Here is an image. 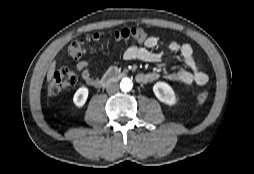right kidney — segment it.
<instances>
[{
    "label": "right kidney",
    "mask_w": 254,
    "mask_h": 174,
    "mask_svg": "<svg viewBox=\"0 0 254 174\" xmlns=\"http://www.w3.org/2000/svg\"><path fill=\"white\" fill-rule=\"evenodd\" d=\"M88 88L80 87L74 94L73 102L77 107H82L87 100L88 97Z\"/></svg>",
    "instance_id": "obj_1"
}]
</instances>
